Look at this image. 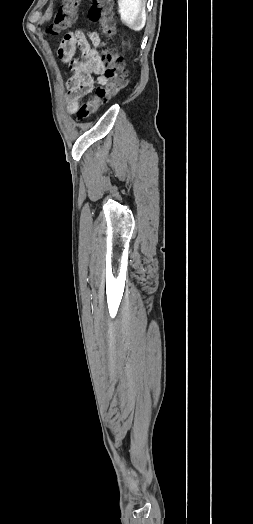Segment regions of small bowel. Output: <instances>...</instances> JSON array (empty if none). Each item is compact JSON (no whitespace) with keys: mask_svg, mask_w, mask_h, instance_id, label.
Masks as SVG:
<instances>
[{"mask_svg":"<svg viewBox=\"0 0 253 524\" xmlns=\"http://www.w3.org/2000/svg\"><path fill=\"white\" fill-rule=\"evenodd\" d=\"M89 38L92 44L83 32L72 28L62 37V43L58 46L60 58L64 62H70L73 72L68 82V97L72 101L82 99L91 93L95 83L101 85L107 83L103 76V62L97 51L100 38L94 32L90 33ZM75 45L79 48L81 55L72 60Z\"/></svg>","mask_w":253,"mask_h":524,"instance_id":"c3829d8e","label":"small bowel"}]
</instances>
